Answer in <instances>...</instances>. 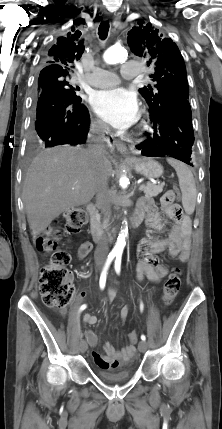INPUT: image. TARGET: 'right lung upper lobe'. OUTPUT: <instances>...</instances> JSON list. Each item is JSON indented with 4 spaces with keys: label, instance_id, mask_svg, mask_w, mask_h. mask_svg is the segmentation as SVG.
Instances as JSON below:
<instances>
[{
    "label": "right lung upper lobe",
    "instance_id": "cb5924a9",
    "mask_svg": "<svg viewBox=\"0 0 222 429\" xmlns=\"http://www.w3.org/2000/svg\"><path fill=\"white\" fill-rule=\"evenodd\" d=\"M68 32L58 37L46 54V63L40 75H68L73 63L80 59L84 52V40L80 32Z\"/></svg>",
    "mask_w": 222,
    "mask_h": 429
}]
</instances>
